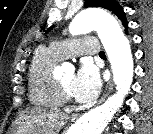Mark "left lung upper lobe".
Returning a JSON list of instances; mask_svg holds the SVG:
<instances>
[{"instance_id": "obj_1", "label": "left lung upper lobe", "mask_w": 153, "mask_h": 134, "mask_svg": "<svg viewBox=\"0 0 153 134\" xmlns=\"http://www.w3.org/2000/svg\"><path fill=\"white\" fill-rule=\"evenodd\" d=\"M85 7L105 8L114 13L122 21V24L125 28L128 26L123 8L118 4L116 0H86ZM51 29L52 27H50L46 32L50 31Z\"/></svg>"}]
</instances>
